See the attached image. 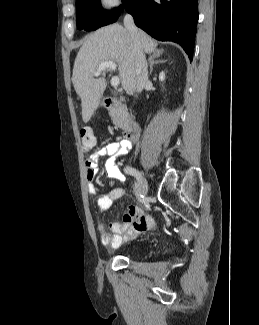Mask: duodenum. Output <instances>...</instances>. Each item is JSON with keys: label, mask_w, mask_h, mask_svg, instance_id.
<instances>
[{"label": "duodenum", "mask_w": 259, "mask_h": 325, "mask_svg": "<svg viewBox=\"0 0 259 325\" xmlns=\"http://www.w3.org/2000/svg\"><path fill=\"white\" fill-rule=\"evenodd\" d=\"M121 102L111 98V97H105L102 102V106L105 109H110L114 106H121ZM141 133V128L139 123L132 117L127 118L126 127H125V133H124V140L127 141H134L136 140Z\"/></svg>", "instance_id": "410a0bca"}]
</instances>
